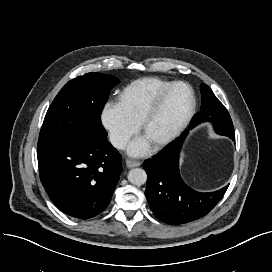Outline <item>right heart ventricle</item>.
<instances>
[{
	"label": "right heart ventricle",
	"mask_w": 272,
	"mask_h": 272,
	"mask_svg": "<svg viewBox=\"0 0 272 272\" xmlns=\"http://www.w3.org/2000/svg\"><path fill=\"white\" fill-rule=\"evenodd\" d=\"M171 84V81L158 77L137 79L121 90L118 103L129 119L139 125L148 107Z\"/></svg>",
	"instance_id": "e07e8e85"
}]
</instances>
